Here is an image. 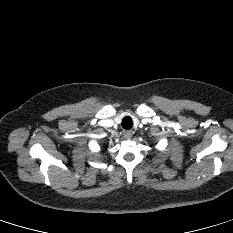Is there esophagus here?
<instances>
[{
    "instance_id": "34e87169",
    "label": "esophagus",
    "mask_w": 233,
    "mask_h": 233,
    "mask_svg": "<svg viewBox=\"0 0 233 233\" xmlns=\"http://www.w3.org/2000/svg\"><path fill=\"white\" fill-rule=\"evenodd\" d=\"M132 135H133V131L132 130H126V131H124V137L126 139H130L132 137Z\"/></svg>"
}]
</instances>
